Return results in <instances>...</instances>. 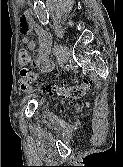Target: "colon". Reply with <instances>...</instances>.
Returning a JSON list of instances; mask_svg holds the SVG:
<instances>
[{
  "label": "colon",
  "mask_w": 123,
  "mask_h": 167,
  "mask_svg": "<svg viewBox=\"0 0 123 167\" xmlns=\"http://www.w3.org/2000/svg\"><path fill=\"white\" fill-rule=\"evenodd\" d=\"M18 59L22 65L21 76L26 83L34 82L37 80V73L28 68L30 56L26 49H20L18 53ZM92 84L90 81L85 80L75 84H52L46 87V90L63 98H67L73 101L80 100L85 97L90 90Z\"/></svg>",
  "instance_id": "obj_1"
}]
</instances>
